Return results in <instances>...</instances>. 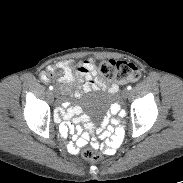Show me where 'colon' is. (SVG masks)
<instances>
[{"label":"colon","mask_w":183,"mask_h":183,"mask_svg":"<svg viewBox=\"0 0 183 183\" xmlns=\"http://www.w3.org/2000/svg\"><path fill=\"white\" fill-rule=\"evenodd\" d=\"M97 69L104 78L117 83L135 82L141 77L138 65L130 61L103 60L97 65ZM48 75L52 76L53 72H49ZM82 155L93 162L101 160V156L89 147L83 149Z\"/></svg>","instance_id":"colon-1"}]
</instances>
